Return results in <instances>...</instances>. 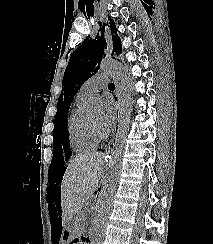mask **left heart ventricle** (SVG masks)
I'll return each instance as SVG.
<instances>
[{"instance_id":"1","label":"left heart ventricle","mask_w":213,"mask_h":244,"mask_svg":"<svg viewBox=\"0 0 213 244\" xmlns=\"http://www.w3.org/2000/svg\"><path fill=\"white\" fill-rule=\"evenodd\" d=\"M90 120H91L96 126H98L99 128H101V120H102V118H101V115H100V114L91 117Z\"/></svg>"}]
</instances>
